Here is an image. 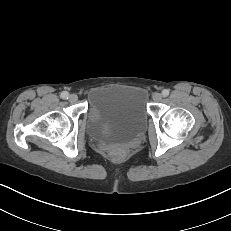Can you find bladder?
Returning a JSON list of instances; mask_svg holds the SVG:
<instances>
[{
	"label": "bladder",
	"instance_id": "bladder-1",
	"mask_svg": "<svg viewBox=\"0 0 231 231\" xmlns=\"http://www.w3.org/2000/svg\"><path fill=\"white\" fill-rule=\"evenodd\" d=\"M148 115L143 89L104 88L89 98L88 131L97 141L129 142L144 133Z\"/></svg>",
	"mask_w": 231,
	"mask_h": 231
}]
</instances>
